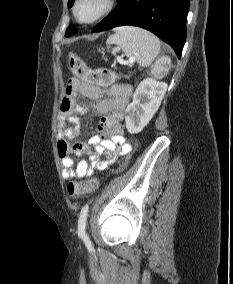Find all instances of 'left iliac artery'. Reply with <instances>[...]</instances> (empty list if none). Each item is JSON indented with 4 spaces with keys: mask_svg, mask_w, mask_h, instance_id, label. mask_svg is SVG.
Masks as SVG:
<instances>
[{
    "mask_svg": "<svg viewBox=\"0 0 233 284\" xmlns=\"http://www.w3.org/2000/svg\"><path fill=\"white\" fill-rule=\"evenodd\" d=\"M89 206L86 204L81 209L79 220H78V236L81 237L86 244H91L87 234H86V222L88 216Z\"/></svg>",
    "mask_w": 233,
    "mask_h": 284,
    "instance_id": "1",
    "label": "left iliac artery"
}]
</instances>
